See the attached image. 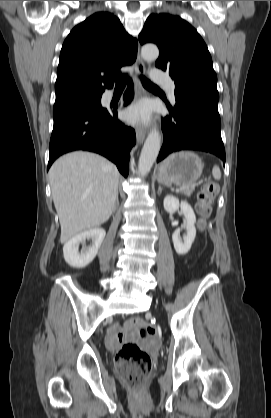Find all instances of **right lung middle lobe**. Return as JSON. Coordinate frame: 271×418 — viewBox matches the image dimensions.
<instances>
[{"mask_svg":"<svg viewBox=\"0 0 271 418\" xmlns=\"http://www.w3.org/2000/svg\"><path fill=\"white\" fill-rule=\"evenodd\" d=\"M101 104V96L81 97L69 99L54 104L53 117L74 109L89 107Z\"/></svg>","mask_w":271,"mask_h":418,"instance_id":"1","label":"right lung middle lobe"}]
</instances>
